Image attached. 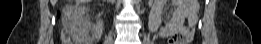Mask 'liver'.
Segmentation results:
<instances>
[{
  "label": "liver",
  "mask_w": 261,
  "mask_h": 44,
  "mask_svg": "<svg viewBox=\"0 0 261 44\" xmlns=\"http://www.w3.org/2000/svg\"><path fill=\"white\" fill-rule=\"evenodd\" d=\"M84 10H78L73 12L71 6H66L64 8V14L66 18V27L71 29V35L74 42H85L84 30L87 27L83 19Z\"/></svg>",
  "instance_id": "obj_1"
}]
</instances>
